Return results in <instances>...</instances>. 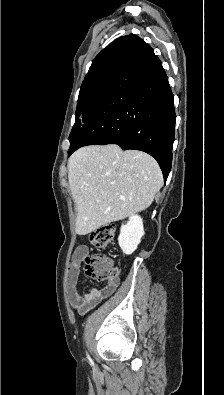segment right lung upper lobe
Segmentation results:
<instances>
[{"mask_svg": "<svg viewBox=\"0 0 224 395\" xmlns=\"http://www.w3.org/2000/svg\"><path fill=\"white\" fill-rule=\"evenodd\" d=\"M143 42L141 38L134 34L122 36L114 40L95 57L83 84L103 74L122 70Z\"/></svg>", "mask_w": 224, "mask_h": 395, "instance_id": "1", "label": "right lung upper lobe"}]
</instances>
